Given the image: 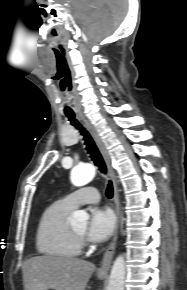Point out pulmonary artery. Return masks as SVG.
<instances>
[{"instance_id": "pulmonary-artery-1", "label": "pulmonary artery", "mask_w": 187, "mask_h": 290, "mask_svg": "<svg viewBox=\"0 0 187 290\" xmlns=\"http://www.w3.org/2000/svg\"><path fill=\"white\" fill-rule=\"evenodd\" d=\"M99 199L98 190L93 186H88L66 195L62 201L71 208H76L84 203H96Z\"/></svg>"}]
</instances>
